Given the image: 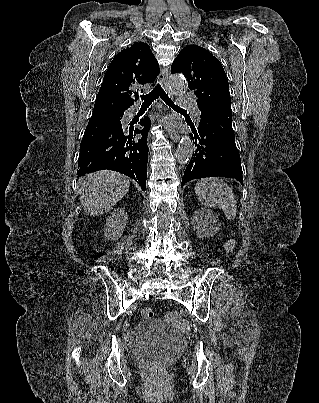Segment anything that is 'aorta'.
I'll list each match as a JSON object with an SVG mask.
<instances>
[{
    "mask_svg": "<svg viewBox=\"0 0 319 403\" xmlns=\"http://www.w3.org/2000/svg\"><path fill=\"white\" fill-rule=\"evenodd\" d=\"M168 85L174 93H185L188 89L187 81L184 77L179 75H172L169 78ZM193 142L187 135L182 136L178 148L176 150V159L180 164L187 163L193 153Z\"/></svg>",
    "mask_w": 319,
    "mask_h": 403,
    "instance_id": "762f6f07",
    "label": "aorta"
}]
</instances>
